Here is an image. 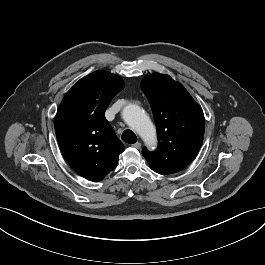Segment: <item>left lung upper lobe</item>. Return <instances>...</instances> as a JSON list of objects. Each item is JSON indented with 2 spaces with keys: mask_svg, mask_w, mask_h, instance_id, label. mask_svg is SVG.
Listing matches in <instances>:
<instances>
[{
  "mask_svg": "<svg viewBox=\"0 0 265 265\" xmlns=\"http://www.w3.org/2000/svg\"><path fill=\"white\" fill-rule=\"evenodd\" d=\"M141 87L150 102L159 140L155 151L143 148L142 155L156 173L181 171L201 147L205 131L203 111L184 86L168 75H150Z\"/></svg>",
  "mask_w": 265,
  "mask_h": 265,
  "instance_id": "5c2ea615",
  "label": "left lung upper lobe"
}]
</instances>
